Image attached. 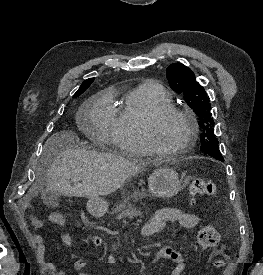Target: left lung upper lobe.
Wrapping results in <instances>:
<instances>
[{
	"label": "left lung upper lobe",
	"instance_id": "1",
	"mask_svg": "<svg viewBox=\"0 0 263 275\" xmlns=\"http://www.w3.org/2000/svg\"><path fill=\"white\" fill-rule=\"evenodd\" d=\"M166 76L171 88L184 95L185 101L200 120L199 125L203 130L200 136L201 150L214 158H221L218 141L214 135L210 100L204 88L196 81L192 70L182 63H173L168 66Z\"/></svg>",
	"mask_w": 263,
	"mask_h": 275
}]
</instances>
